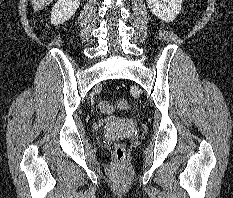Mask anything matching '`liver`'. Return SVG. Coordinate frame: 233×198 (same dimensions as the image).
Returning <instances> with one entry per match:
<instances>
[{
  "label": "liver",
  "mask_w": 233,
  "mask_h": 198,
  "mask_svg": "<svg viewBox=\"0 0 233 198\" xmlns=\"http://www.w3.org/2000/svg\"><path fill=\"white\" fill-rule=\"evenodd\" d=\"M54 0H31L33 9L35 11L41 10L52 3Z\"/></svg>",
  "instance_id": "liver-1"
}]
</instances>
